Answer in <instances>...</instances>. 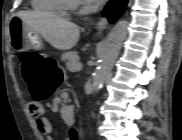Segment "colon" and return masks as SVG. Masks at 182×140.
Wrapping results in <instances>:
<instances>
[{"label":"colon","mask_w":182,"mask_h":140,"mask_svg":"<svg viewBox=\"0 0 182 140\" xmlns=\"http://www.w3.org/2000/svg\"><path fill=\"white\" fill-rule=\"evenodd\" d=\"M23 75L35 101L49 98L62 80V71L55 59L37 53H25L21 57ZM71 140H78L77 131H70Z\"/></svg>","instance_id":"colon-1"}]
</instances>
